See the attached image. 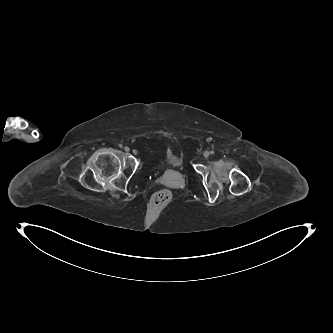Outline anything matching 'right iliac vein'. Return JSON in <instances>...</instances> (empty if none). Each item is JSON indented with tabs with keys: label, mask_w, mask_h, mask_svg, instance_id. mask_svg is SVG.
Segmentation results:
<instances>
[{
	"label": "right iliac vein",
	"mask_w": 333,
	"mask_h": 333,
	"mask_svg": "<svg viewBox=\"0 0 333 333\" xmlns=\"http://www.w3.org/2000/svg\"><path fill=\"white\" fill-rule=\"evenodd\" d=\"M124 149H125L126 152H129V150H130L129 147H125ZM133 154L138 155V151L133 150Z\"/></svg>",
	"instance_id": "63e3f726"
}]
</instances>
